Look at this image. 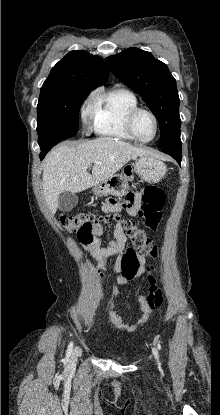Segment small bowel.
<instances>
[{"label":"small bowel","instance_id":"c3829d8e","mask_svg":"<svg viewBox=\"0 0 220 415\" xmlns=\"http://www.w3.org/2000/svg\"><path fill=\"white\" fill-rule=\"evenodd\" d=\"M140 202V194L139 193H128L127 194V205L119 206V205H110L104 204L102 206L103 212L109 211H126L132 216H135L138 211ZM104 230L101 224L96 225L92 232L91 237L88 238L83 232H78L77 237L79 242L85 246L92 249V256L95 260L98 268V277L101 281H103L104 277L101 271H108L110 270V264L114 261L113 269L115 272L120 271V256L123 253L126 245V236L122 227L121 221H118L114 227L113 231V238L107 241V245L105 247H101V237L103 236ZM141 262L144 261L141 259ZM145 268L143 267V270ZM121 279L117 278V283H120ZM118 293V287L115 285L112 290V295L115 297ZM141 302V309L142 315L140 316L137 323L132 325H125L123 319L120 315L116 314L113 309L112 303L110 304L107 314H108V323L113 327L124 330L127 332H134L143 324H145L152 312L156 309L152 307L147 300L146 295L140 296Z\"/></svg>","mask_w":220,"mask_h":415}]
</instances>
